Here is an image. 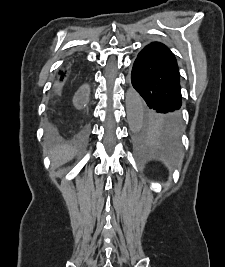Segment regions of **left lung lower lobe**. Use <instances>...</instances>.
Listing matches in <instances>:
<instances>
[{
  "instance_id": "obj_1",
  "label": "left lung lower lobe",
  "mask_w": 225,
  "mask_h": 267,
  "mask_svg": "<svg viewBox=\"0 0 225 267\" xmlns=\"http://www.w3.org/2000/svg\"><path fill=\"white\" fill-rule=\"evenodd\" d=\"M131 82L141 96L143 106L180 133L182 96L173 53L160 42L145 46L134 62Z\"/></svg>"
}]
</instances>
